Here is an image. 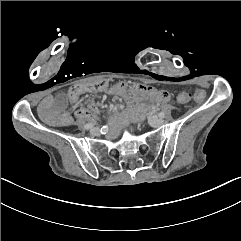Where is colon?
Segmentation results:
<instances>
[{"label": "colon", "mask_w": 241, "mask_h": 241, "mask_svg": "<svg viewBox=\"0 0 241 241\" xmlns=\"http://www.w3.org/2000/svg\"><path fill=\"white\" fill-rule=\"evenodd\" d=\"M69 91L70 98L80 99L82 93H106L108 86L104 84L102 79H81L80 84H70ZM193 96L197 100H201L205 96V91L198 89ZM179 99L183 103H189L192 100V95L189 92H183L180 94Z\"/></svg>", "instance_id": "obj_1"}]
</instances>
